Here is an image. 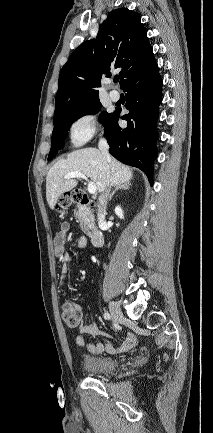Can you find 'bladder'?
<instances>
[{"label": "bladder", "mask_w": 213, "mask_h": 433, "mask_svg": "<svg viewBox=\"0 0 213 433\" xmlns=\"http://www.w3.org/2000/svg\"><path fill=\"white\" fill-rule=\"evenodd\" d=\"M119 364L117 358L109 355L84 354L82 366L84 370L92 375H102L111 372Z\"/></svg>", "instance_id": "obj_1"}]
</instances>
